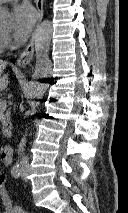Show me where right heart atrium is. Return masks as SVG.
<instances>
[{
	"label": "right heart atrium",
	"mask_w": 128,
	"mask_h": 213,
	"mask_svg": "<svg viewBox=\"0 0 128 213\" xmlns=\"http://www.w3.org/2000/svg\"><path fill=\"white\" fill-rule=\"evenodd\" d=\"M10 44V37L5 33L0 34V51L5 49Z\"/></svg>",
	"instance_id": "right-heart-atrium-1"
}]
</instances>
